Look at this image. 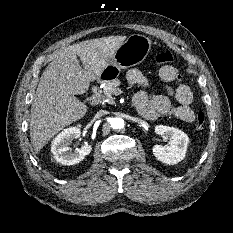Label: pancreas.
<instances>
[{
  "instance_id": "pancreas-1",
  "label": "pancreas",
  "mask_w": 233,
  "mask_h": 233,
  "mask_svg": "<svg viewBox=\"0 0 233 233\" xmlns=\"http://www.w3.org/2000/svg\"><path fill=\"white\" fill-rule=\"evenodd\" d=\"M120 84L121 82L118 79L107 81L103 87L102 97L113 102L112 96H117L121 92V89L119 88Z\"/></svg>"
}]
</instances>
